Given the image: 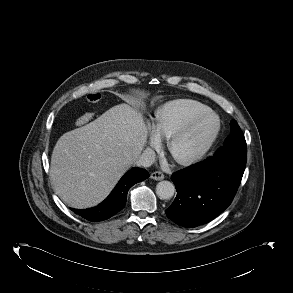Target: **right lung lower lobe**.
<instances>
[{
	"mask_svg": "<svg viewBox=\"0 0 293 293\" xmlns=\"http://www.w3.org/2000/svg\"><path fill=\"white\" fill-rule=\"evenodd\" d=\"M148 177L149 173L145 169L133 168L121 178L110 195L98 206L85 210H71L89 221L106 220L124 208L129 188Z\"/></svg>",
	"mask_w": 293,
	"mask_h": 293,
	"instance_id": "98d812e1",
	"label": "right lung lower lobe"
}]
</instances>
